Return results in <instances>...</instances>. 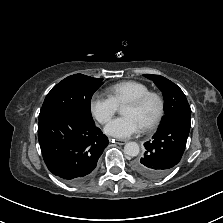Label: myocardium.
<instances>
[{
	"label": "myocardium",
	"mask_w": 223,
	"mask_h": 223,
	"mask_svg": "<svg viewBox=\"0 0 223 223\" xmlns=\"http://www.w3.org/2000/svg\"><path fill=\"white\" fill-rule=\"evenodd\" d=\"M151 97H154L158 100L159 109L153 120L141 127L143 131H151L155 129L162 121L166 109V102L164 96L160 92L149 90L126 103V105L139 107L142 106Z\"/></svg>",
	"instance_id": "1"
}]
</instances>
